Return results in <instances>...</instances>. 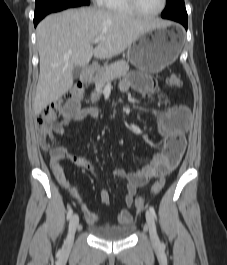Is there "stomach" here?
<instances>
[{
    "label": "stomach",
    "mask_w": 227,
    "mask_h": 265,
    "mask_svg": "<svg viewBox=\"0 0 227 265\" xmlns=\"http://www.w3.org/2000/svg\"><path fill=\"white\" fill-rule=\"evenodd\" d=\"M182 49L178 28L152 29L138 37L127 50L128 60L139 70L159 73L171 65Z\"/></svg>",
    "instance_id": "stomach-1"
}]
</instances>
